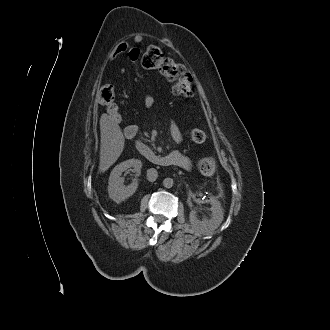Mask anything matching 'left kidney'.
<instances>
[{"label": "left kidney", "instance_id": "1", "mask_svg": "<svg viewBox=\"0 0 330 330\" xmlns=\"http://www.w3.org/2000/svg\"><path fill=\"white\" fill-rule=\"evenodd\" d=\"M211 204V217L208 218L207 216H204L202 220H199L196 216V211L193 210L190 212L189 215V221L191 224L192 229L202 235H209L211 234L215 229H217L220 224L223 221V209L221 207V204L219 201L215 199L210 200Z\"/></svg>", "mask_w": 330, "mask_h": 330}]
</instances>
